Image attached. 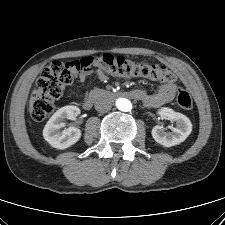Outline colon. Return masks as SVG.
<instances>
[{"mask_svg": "<svg viewBox=\"0 0 225 225\" xmlns=\"http://www.w3.org/2000/svg\"><path fill=\"white\" fill-rule=\"evenodd\" d=\"M95 66L105 73L125 77H142L163 83L176 80L174 73L160 65L137 63L109 53L96 57H83L67 64L53 61L44 68L36 81L29 101L31 117L36 121L44 120L55 109V101L61 96L63 89L72 81L71 68L86 69ZM176 100L184 110L192 108V99L187 91L178 88Z\"/></svg>", "mask_w": 225, "mask_h": 225, "instance_id": "obj_1", "label": "colon"}]
</instances>
